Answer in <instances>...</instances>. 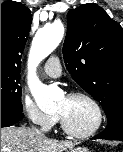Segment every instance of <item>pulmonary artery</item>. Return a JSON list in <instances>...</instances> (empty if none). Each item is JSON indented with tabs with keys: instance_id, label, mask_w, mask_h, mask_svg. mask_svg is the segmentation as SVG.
Instances as JSON below:
<instances>
[{
	"instance_id": "1",
	"label": "pulmonary artery",
	"mask_w": 123,
	"mask_h": 152,
	"mask_svg": "<svg viewBox=\"0 0 123 152\" xmlns=\"http://www.w3.org/2000/svg\"><path fill=\"white\" fill-rule=\"evenodd\" d=\"M44 72L53 78L59 77L61 75V65L59 58L56 56H51L44 64Z\"/></svg>"
}]
</instances>
